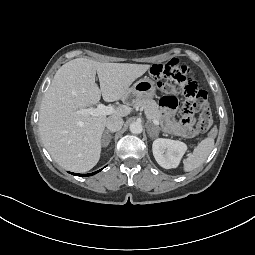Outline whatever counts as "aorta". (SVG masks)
<instances>
[{
	"label": "aorta",
	"mask_w": 255,
	"mask_h": 255,
	"mask_svg": "<svg viewBox=\"0 0 255 255\" xmlns=\"http://www.w3.org/2000/svg\"><path fill=\"white\" fill-rule=\"evenodd\" d=\"M129 129H130L131 133H133V134H140L143 130V127L140 122H133L130 124Z\"/></svg>",
	"instance_id": "obj_1"
}]
</instances>
